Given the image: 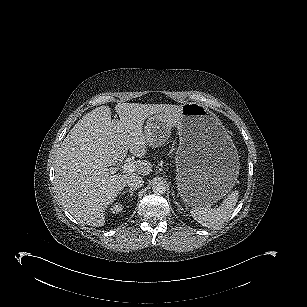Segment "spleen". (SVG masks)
<instances>
[{
	"label": "spleen",
	"mask_w": 307,
	"mask_h": 307,
	"mask_svg": "<svg viewBox=\"0 0 307 307\" xmlns=\"http://www.w3.org/2000/svg\"><path fill=\"white\" fill-rule=\"evenodd\" d=\"M238 197V190H234L228 194L218 208H211L212 204L205 202L192 206L190 213L194 220L202 226L217 228L229 219L236 206Z\"/></svg>",
	"instance_id": "1"
}]
</instances>
